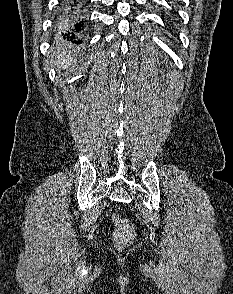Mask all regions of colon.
<instances>
[{
	"label": "colon",
	"mask_w": 233,
	"mask_h": 294,
	"mask_svg": "<svg viewBox=\"0 0 233 294\" xmlns=\"http://www.w3.org/2000/svg\"><path fill=\"white\" fill-rule=\"evenodd\" d=\"M114 224L113 240L118 247L130 245L134 239V227L128 220L119 215H113Z\"/></svg>",
	"instance_id": "1"
}]
</instances>
